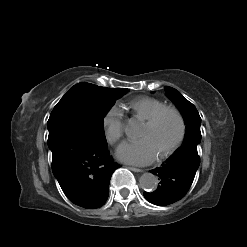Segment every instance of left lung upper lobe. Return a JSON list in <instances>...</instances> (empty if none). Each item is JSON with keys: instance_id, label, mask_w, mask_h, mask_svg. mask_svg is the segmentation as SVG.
I'll list each match as a JSON object with an SVG mask.
<instances>
[{"instance_id": "1", "label": "left lung upper lobe", "mask_w": 247, "mask_h": 247, "mask_svg": "<svg viewBox=\"0 0 247 247\" xmlns=\"http://www.w3.org/2000/svg\"><path fill=\"white\" fill-rule=\"evenodd\" d=\"M165 91L166 95L175 103L184 117L186 124L184 144L198 145L201 141V118L196 107L176 89L167 86Z\"/></svg>"}]
</instances>
